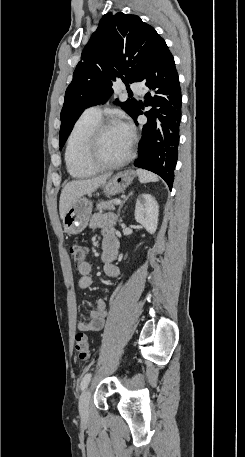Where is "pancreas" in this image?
Listing matches in <instances>:
<instances>
[{"instance_id":"obj_1","label":"pancreas","mask_w":245,"mask_h":457,"mask_svg":"<svg viewBox=\"0 0 245 457\" xmlns=\"http://www.w3.org/2000/svg\"><path fill=\"white\" fill-rule=\"evenodd\" d=\"M115 198H113V200H100V202H98L96 208L97 210H115V202H114Z\"/></svg>"}]
</instances>
